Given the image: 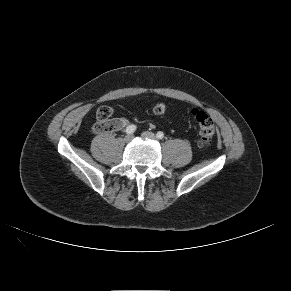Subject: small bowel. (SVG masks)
<instances>
[{
    "label": "small bowel",
    "instance_id": "small-bowel-1",
    "mask_svg": "<svg viewBox=\"0 0 291 291\" xmlns=\"http://www.w3.org/2000/svg\"><path fill=\"white\" fill-rule=\"evenodd\" d=\"M113 125L112 131H120L130 124V120L126 117H117L111 120Z\"/></svg>",
    "mask_w": 291,
    "mask_h": 291
}]
</instances>
